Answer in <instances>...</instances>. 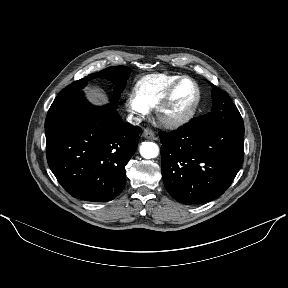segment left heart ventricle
Returning <instances> with one entry per match:
<instances>
[{"mask_svg": "<svg viewBox=\"0 0 288 288\" xmlns=\"http://www.w3.org/2000/svg\"><path fill=\"white\" fill-rule=\"evenodd\" d=\"M195 95V89L190 81H184L178 87L171 105L166 114L169 117L176 116L183 112L192 102Z\"/></svg>", "mask_w": 288, "mask_h": 288, "instance_id": "left-heart-ventricle-1", "label": "left heart ventricle"}]
</instances>
